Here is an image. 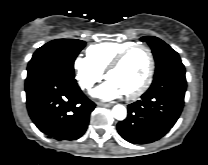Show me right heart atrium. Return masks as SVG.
Instances as JSON below:
<instances>
[{"label":"right heart atrium","mask_w":208,"mask_h":165,"mask_svg":"<svg viewBox=\"0 0 208 165\" xmlns=\"http://www.w3.org/2000/svg\"><path fill=\"white\" fill-rule=\"evenodd\" d=\"M73 68L76 80L84 90H90L103 76L102 71L88 57L77 56L74 59Z\"/></svg>","instance_id":"1"}]
</instances>
